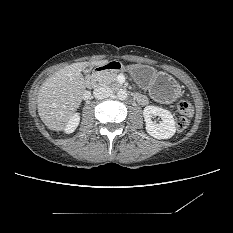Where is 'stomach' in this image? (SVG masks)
Here are the masks:
<instances>
[{
  "mask_svg": "<svg viewBox=\"0 0 233 233\" xmlns=\"http://www.w3.org/2000/svg\"><path fill=\"white\" fill-rule=\"evenodd\" d=\"M138 85L147 89L152 98L163 103L174 101L180 94V86L168 73L157 71L144 64H133L127 67Z\"/></svg>",
  "mask_w": 233,
  "mask_h": 233,
  "instance_id": "1",
  "label": "stomach"
}]
</instances>
